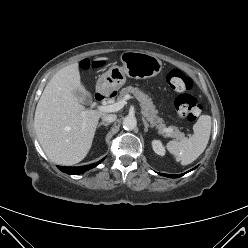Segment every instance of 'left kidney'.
<instances>
[{
	"mask_svg": "<svg viewBox=\"0 0 248 248\" xmlns=\"http://www.w3.org/2000/svg\"><path fill=\"white\" fill-rule=\"evenodd\" d=\"M152 148L154 152L160 156H164L166 153L165 147L163 146L160 140H153L152 141Z\"/></svg>",
	"mask_w": 248,
	"mask_h": 248,
	"instance_id": "obj_1",
	"label": "left kidney"
}]
</instances>
